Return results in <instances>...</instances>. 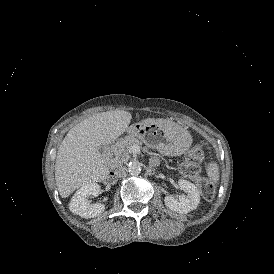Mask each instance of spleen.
<instances>
[{
	"label": "spleen",
	"instance_id": "spleen-1",
	"mask_svg": "<svg viewBox=\"0 0 274 274\" xmlns=\"http://www.w3.org/2000/svg\"><path fill=\"white\" fill-rule=\"evenodd\" d=\"M206 171L211 181L216 183L219 180V167L217 163L211 162L207 165Z\"/></svg>",
	"mask_w": 274,
	"mask_h": 274
}]
</instances>
